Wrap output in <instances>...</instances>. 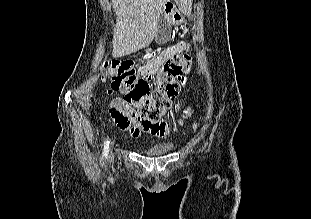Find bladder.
Masks as SVG:
<instances>
[{"label": "bladder", "mask_w": 311, "mask_h": 219, "mask_svg": "<svg viewBox=\"0 0 311 219\" xmlns=\"http://www.w3.org/2000/svg\"><path fill=\"white\" fill-rule=\"evenodd\" d=\"M172 147L170 146H153L151 149H149L146 154L151 157H159L168 154L171 152Z\"/></svg>", "instance_id": "31cf9c89"}]
</instances>
